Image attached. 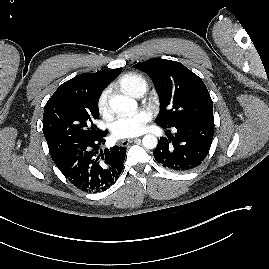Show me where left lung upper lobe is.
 <instances>
[{"instance_id":"obj_1","label":"left lung upper lobe","mask_w":269,"mask_h":269,"mask_svg":"<svg viewBox=\"0 0 269 269\" xmlns=\"http://www.w3.org/2000/svg\"><path fill=\"white\" fill-rule=\"evenodd\" d=\"M133 67L152 78L160 96L157 125L171 128L188 121L214 122L213 102L205 84L183 64L153 58Z\"/></svg>"}]
</instances>
